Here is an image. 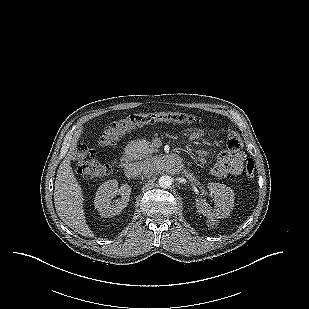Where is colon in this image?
I'll use <instances>...</instances> for the list:
<instances>
[{
    "instance_id": "1",
    "label": "colon",
    "mask_w": 309,
    "mask_h": 309,
    "mask_svg": "<svg viewBox=\"0 0 309 309\" xmlns=\"http://www.w3.org/2000/svg\"><path fill=\"white\" fill-rule=\"evenodd\" d=\"M174 122L179 124H193L198 118L190 113L184 112H155L150 114H130L127 117L115 121L106 127L101 136L99 143L102 147H112L129 131L153 122ZM228 144L234 148L240 146V139L236 136L229 139ZM77 162L76 171L87 178L104 177L111 172V165L100 163L95 151L85 144H79L76 149ZM255 166L252 159H248L245 164V176L247 179L254 177Z\"/></svg>"
}]
</instances>
